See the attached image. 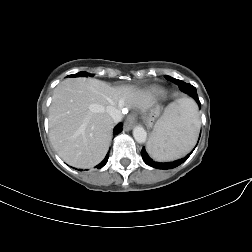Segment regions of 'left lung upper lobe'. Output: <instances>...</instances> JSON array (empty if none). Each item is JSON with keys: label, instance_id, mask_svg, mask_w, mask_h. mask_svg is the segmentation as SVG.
Wrapping results in <instances>:
<instances>
[{"label": "left lung upper lobe", "instance_id": "left-lung-upper-lobe-1", "mask_svg": "<svg viewBox=\"0 0 252 252\" xmlns=\"http://www.w3.org/2000/svg\"><path fill=\"white\" fill-rule=\"evenodd\" d=\"M165 78L167 80H170V81H173V82H176L178 79H175V78H172V77H169V76H165Z\"/></svg>", "mask_w": 252, "mask_h": 252}]
</instances>
